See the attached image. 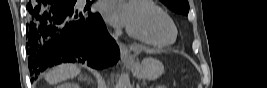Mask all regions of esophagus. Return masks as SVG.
Segmentation results:
<instances>
[{
  "label": "esophagus",
  "instance_id": "esophagus-1",
  "mask_svg": "<svg viewBox=\"0 0 267 88\" xmlns=\"http://www.w3.org/2000/svg\"><path fill=\"white\" fill-rule=\"evenodd\" d=\"M119 48H120L122 62L131 63L134 61V57L132 56L130 50L125 44L119 42Z\"/></svg>",
  "mask_w": 267,
  "mask_h": 88
}]
</instances>
